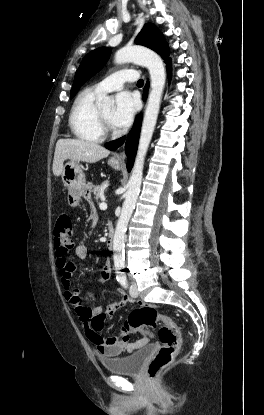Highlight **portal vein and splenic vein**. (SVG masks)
Segmentation results:
<instances>
[{"instance_id": "1", "label": "portal vein and splenic vein", "mask_w": 264, "mask_h": 415, "mask_svg": "<svg viewBox=\"0 0 264 415\" xmlns=\"http://www.w3.org/2000/svg\"><path fill=\"white\" fill-rule=\"evenodd\" d=\"M99 208L101 209V210H106L107 209V204H106V202H101L100 203V205H99Z\"/></svg>"}]
</instances>
